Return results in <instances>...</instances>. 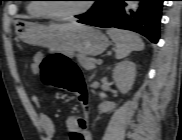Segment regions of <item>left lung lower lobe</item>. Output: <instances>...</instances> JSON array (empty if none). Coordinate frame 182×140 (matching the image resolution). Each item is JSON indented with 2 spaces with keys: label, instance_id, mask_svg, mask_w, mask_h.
Wrapping results in <instances>:
<instances>
[{
  "label": "left lung lower lobe",
  "instance_id": "0a47b994",
  "mask_svg": "<svg viewBox=\"0 0 182 140\" xmlns=\"http://www.w3.org/2000/svg\"><path fill=\"white\" fill-rule=\"evenodd\" d=\"M136 13L126 14L125 0H100L93 10L79 18V23L96 27H116L138 32L151 42L159 39L163 0H140Z\"/></svg>",
  "mask_w": 182,
  "mask_h": 140
}]
</instances>
